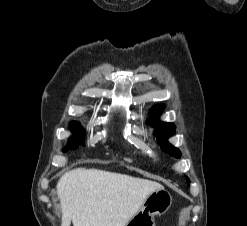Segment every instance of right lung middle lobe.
I'll list each match as a JSON object with an SVG mask.
<instances>
[{"label":"right lung middle lobe","instance_id":"dd1d6c3e","mask_svg":"<svg viewBox=\"0 0 247 226\" xmlns=\"http://www.w3.org/2000/svg\"><path fill=\"white\" fill-rule=\"evenodd\" d=\"M72 131L74 132L72 138L70 139L69 144L67 147L64 148L63 151H67L68 149H76L78 145H83L82 141V132L79 129L78 123H72L71 127Z\"/></svg>","mask_w":247,"mask_h":226}]
</instances>
